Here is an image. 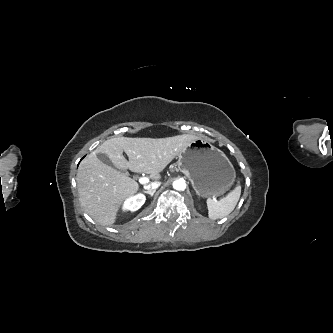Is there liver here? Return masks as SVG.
<instances>
[{"label":"liver","mask_w":333,"mask_h":333,"mask_svg":"<svg viewBox=\"0 0 333 333\" xmlns=\"http://www.w3.org/2000/svg\"><path fill=\"white\" fill-rule=\"evenodd\" d=\"M196 138L183 134L158 139L118 137L105 141L78 167L76 180L85 212L101 225L114 224L124 200L139 190V184L120 170L146 173L157 181L163 169ZM99 153L105 154L113 167L100 161Z\"/></svg>","instance_id":"liver-1"}]
</instances>
